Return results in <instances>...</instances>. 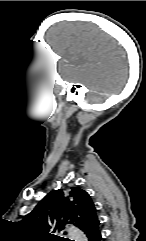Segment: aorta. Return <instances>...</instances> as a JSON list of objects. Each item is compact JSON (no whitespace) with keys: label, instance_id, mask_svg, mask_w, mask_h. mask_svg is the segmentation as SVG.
Wrapping results in <instances>:
<instances>
[{"label":"aorta","instance_id":"obj_1","mask_svg":"<svg viewBox=\"0 0 146 241\" xmlns=\"http://www.w3.org/2000/svg\"><path fill=\"white\" fill-rule=\"evenodd\" d=\"M68 232H69V236H70L71 240H74V241H87V238L83 234V232H81L79 229H77L75 227H70L68 229Z\"/></svg>","mask_w":146,"mask_h":241}]
</instances>
